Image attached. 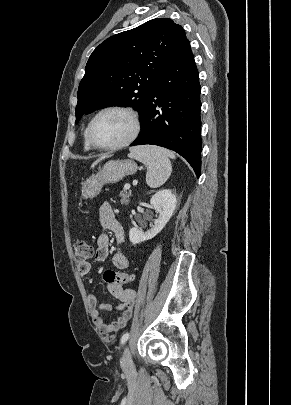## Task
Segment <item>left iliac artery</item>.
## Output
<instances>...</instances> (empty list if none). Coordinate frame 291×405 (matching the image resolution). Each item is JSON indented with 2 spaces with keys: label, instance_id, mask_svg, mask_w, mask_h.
I'll return each mask as SVG.
<instances>
[{
  "label": "left iliac artery",
  "instance_id": "obj_1",
  "mask_svg": "<svg viewBox=\"0 0 291 405\" xmlns=\"http://www.w3.org/2000/svg\"><path fill=\"white\" fill-rule=\"evenodd\" d=\"M129 336H130V334L128 332L123 334V336L121 337V345H123L127 342V340L129 339Z\"/></svg>",
  "mask_w": 291,
  "mask_h": 405
}]
</instances>
